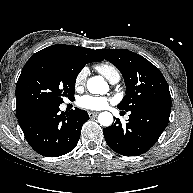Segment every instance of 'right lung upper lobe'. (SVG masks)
<instances>
[{"instance_id": "cb5924a9", "label": "right lung upper lobe", "mask_w": 193, "mask_h": 193, "mask_svg": "<svg viewBox=\"0 0 193 193\" xmlns=\"http://www.w3.org/2000/svg\"><path fill=\"white\" fill-rule=\"evenodd\" d=\"M44 57L65 58L85 64L103 60L98 54V50L64 44H55L44 48L33 54L29 60ZM21 117H23V115H17V119H20Z\"/></svg>"}]
</instances>
